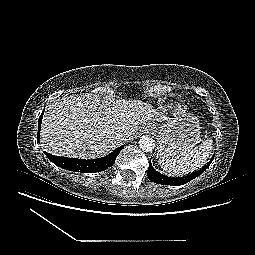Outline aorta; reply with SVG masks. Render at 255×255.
I'll use <instances>...</instances> for the list:
<instances>
[{
    "instance_id": "obj_1",
    "label": "aorta",
    "mask_w": 255,
    "mask_h": 255,
    "mask_svg": "<svg viewBox=\"0 0 255 255\" xmlns=\"http://www.w3.org/2000/svg\"><path fill=\"white\" fill-rule=\"evenodd\" d=\"M139 147L144 151V152H150L154 149L155 147V141L152 137L149 136H142L138 142Z\"/></svg>"
}]
</instances>
